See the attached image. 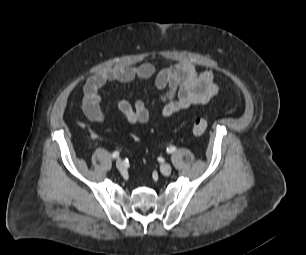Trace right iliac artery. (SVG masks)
Listing matches in <instances>:
<instances>
[{
  "mask_svg": "<svg viewBox=\"0 0 306 255\" xmlns=\"http://www.w3.org/2000/svg\"><path fill=\"white\" fill-rule=\"evenodd\" d=\"M118 156H119V152L118 151L113 152L112 158H117Z\"/></svg>",
  "mask_w": 306,
  "mask_h": 255,
  "instance_id": "obj_1",
  "label": "right iliac artery"
}]
</instances>
